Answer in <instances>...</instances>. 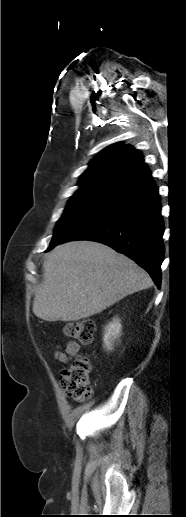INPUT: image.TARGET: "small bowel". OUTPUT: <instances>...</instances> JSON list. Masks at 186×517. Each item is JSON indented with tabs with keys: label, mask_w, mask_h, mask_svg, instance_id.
I'll list each match as a JSON object with an SVG mask.
<instances>
[{
	"label": "small bowel",
	"mask_w": 186,
	"mask_h": 517,
	"mask_svg": "<svg viewBox=\"0 0 186 517\" xmlns=\"http://www.w3.org/2000/svg\"><path fill=\"white\" fill-rule=\"evenodd\" d=\"M79 349L80 345L77 342L69 341L63 351L60 349L54 351V358L60 363H67L79 352Z\"/></svg>",
	"instance_id": "obj_1"
}]
</instances>
